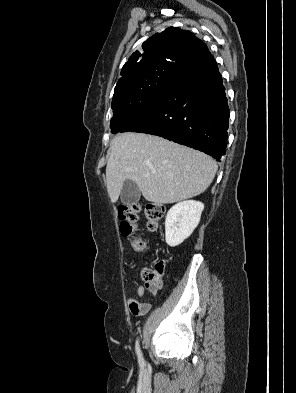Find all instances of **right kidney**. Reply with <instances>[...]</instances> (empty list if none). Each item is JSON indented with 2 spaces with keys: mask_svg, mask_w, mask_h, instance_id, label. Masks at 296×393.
<instances>
[{
  "mask_svg": "<svg viewBox=\"0 0 296 393\" xmlns=\"http://www.w3.org/2000/svg\"><path fill=\"white\" fill-rule=\"evenodd\" d=\"M204 204L187 200L174 205L165 220V239L170 247L180 245L187 239L200 221Z\"/></svg>",
  "mask_w": 296,
  "mask_h": 393,
  "instance_id": "ca27d5eb",
  "label": "right kidney"
}]
</instances>
